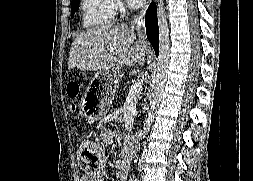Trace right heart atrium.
Returning a JSON list of instances; mask_svg holds the SVG:
<instances>
[{
	"label": "right heart atrium",
	"mask_w": 253,
	"mask_h": 181,
	"mask_svg": "<svg viewBox=\"0 0 253 181\" xmlns=\"http://www.w3.org/2000/svg\"><path fill=\"white\" fill-rule=\"evenodd\" d=\"M115 6H116V10H118V11H120V12H124L125 11L124 4L121 1L116 0L115 1Z\"/></svg>",
	"instance_id": "1"
}]
</instances>
